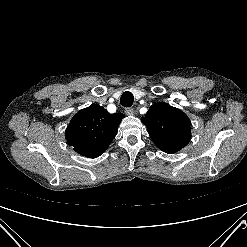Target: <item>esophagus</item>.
Segmentation results:
<instances>
[{
  "instance_id": "34e87169",
  "label": "esophagus",
  "mask_w": 247,
  "mask_h": 247,
  "mask_svg": "<svg viewBox=\"0 0 247 247\" xmlns=\"http://www.w3.org/2000/svg\"><path fill=\"white\" fill-rule=\"evenodd\" d=\"M125 113L129 116L134 115V110L133 108H126Z\"/></svg>"
}]
</instances>
